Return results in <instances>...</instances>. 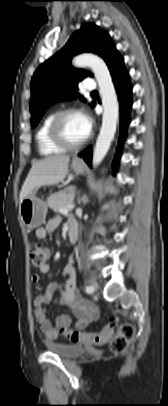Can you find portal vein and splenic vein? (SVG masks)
<instances>
[{"label": "portal vein and splenic vein", "instance_id": "obj_1", "mask_svg": "<svg viewBox=\"0 0 168 406\" xmlns=\"http://www.w3.org/2000/svg\"><path fill=\"white\" fill-rule=\"evenodd\" d=\"M73 208H74V205L71 204V205H68L66 208H61L59 211L62 214H68L70 209H73Z\"/></svg>", "mask_w": 168, "mask_h": 406}]
</instances>
